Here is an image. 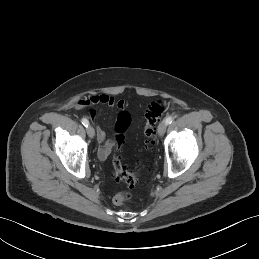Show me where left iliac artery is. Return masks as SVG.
Masks as SVG:
<instances>
[{
	"instance_id": "left-iliac-artery-1",
	"label": "left iliac artery",
	"mask_w": 259,
	"mask_h": 259,
	"mask_svg": "<svg viewBox=\"0 0 259 259\" xmlns=\"http://www.w3.org/2000/svg\"><path fill=\"white\" fill-rule=\"evenodd\" d=\"M172 121H173V117H172V116H169V117H167V118L165 119V123H166L167 125L171 124Z\"/></svg>"
}]
</instances>
